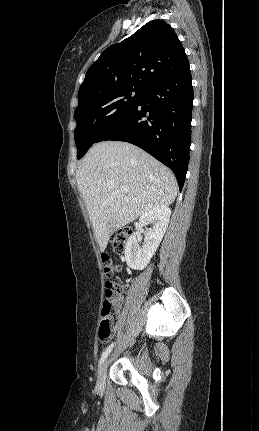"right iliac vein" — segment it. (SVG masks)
<instances>
[{
  "mask_svg": "<svg viewBox=\"0 0 259 431\" xmlns=\"http://www.w3.org/2000/svg\"><path fill=\"white\" fill-rule=\"evenodd\" d=\"M107 366H108V360H106L103 363V365L101 366V369L99 371V375H98V386L99 387H102L104 385Z\"/></svg>",
  "mask_w": 259,
  "mask_h": 431,
  "instance_id": "1",
  "label": "right iliac vein"
}]
</instances>
